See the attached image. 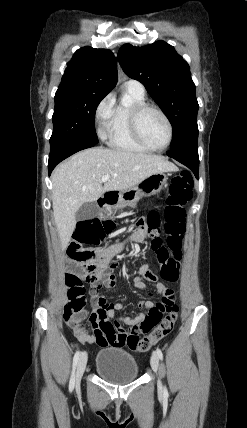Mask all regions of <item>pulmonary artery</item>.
I'll use <instances>...</instances> for the list:
<instances>
[{
  "label": "pulmonary artery",
  "instance_id": "obj_1",
  "mask_svg": "<svg viewBox=\"0 0 247 428\" xmlns=\"http://www.w3.org/2000/svg\"><path fill=\"white\" fill-rule=\"evenodd\" d=\"M125 87L137 90L139 92H143V93L145 92V88H144L143 84L137 80H134V79L127 80L125 82Z\"/></svg>",
  "mask_w": 247,
  "mask_h": 428
}]
</instances>
